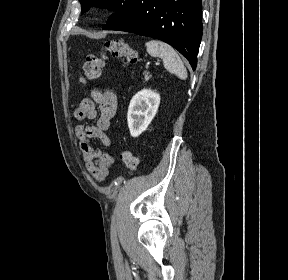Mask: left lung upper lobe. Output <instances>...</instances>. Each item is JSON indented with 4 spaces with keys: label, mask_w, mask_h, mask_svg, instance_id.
I'll list each match as a JSON object with an SVG mask.
<instances>
[{
    "label": "left lung upper lobe",
    "mask_w": 288,
    "mask_h": 280,
    "mask_svg": "<svg viewBox=\"0 0 288 280\" xmlns=\"http://www.w3.org/2000/svg\"><path fill=\"white\" fill-rule=\"evenodd\" d=\"M81 2V13L87 12L92 6L100 8H107L110 11H114L108 21H113L119 18L129 7L133 0H79Z\"/></svg>",
    "instance_id": "1"
}]
</instances>
